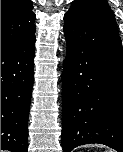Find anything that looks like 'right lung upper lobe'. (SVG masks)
<instances>
[{
	"label": "right lung upper lobe",
	"mask_w": 123,
	"mask_h": 152,
	"mask_svg": "<svg viewBox=\"0 0 123 152\" xmlns=\"http://www.w3.org/2000/svg\"><path fill=\"white\" fill-rule=\"evenodd\" d=\"M31 0H1V46L20 42L35 34Z\"/></svg>",
	"instance_id": "cb5924a9"
}]
</instances>
